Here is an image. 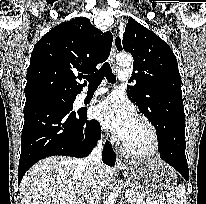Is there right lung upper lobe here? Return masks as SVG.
<instances>
[{
  "instance_id": "cb5924a9",
  "label": "right lung upper lobe",
  "mask_w": 206,
  "mask_h": 204,
  "mask_svg": "<svg viewBox=\"0 0 206 204\" xmlns=\"http://www.w3.org/2000/svg\"><path fill=\"white\" fill-rule=\"evenodd\" d=\"M112 34L95 28L86 17H77L52 28L34 46L27 69L26 99L43 94L77 95L84 74L110 54Z\"/></svg>"
}]
</instances>
